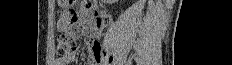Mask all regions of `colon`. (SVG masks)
Returning <instances> with one entry per match:
<instances>
[{
  "label": "colon",
  "mask_w": 232,
  "mask_h": 65,
  "mask_svg": "<svg viewBox=\"0 0 232 65\" xmlns=\"http://www.w3.org/2000/svg\"><path fill=\"white\" fill-rule=\"evenodd\" d=\"M76 46L77 41L73 36L62 34L58 37L57 40V55L59 57H65L71 52L75 51Z\"/></svg>",
  "instance_id": "1"
}]
</instances>
